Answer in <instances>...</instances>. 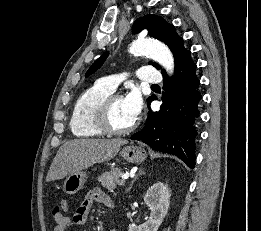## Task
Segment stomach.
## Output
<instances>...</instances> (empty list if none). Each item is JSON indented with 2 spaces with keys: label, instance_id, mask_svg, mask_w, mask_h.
Masks as SVG:
<instances>
[{
  "label": "stomach",
  "instance_id": "0dacf381",
  "mask_svg": "<svg viewBox=\"0 0 261 231\" xmlns=\"http://www.w3.org/2000/svg\"><path fill=\"white\" fill-rule=\"evenodd\" d=\"M120 154L127 162L135 164H139L147 158L145 150L134 145L125 146L121 150ZM86 179V173L83 171L70 174L64 181V192L69 195L77 193L83 188Z\"/></svg>",
  "mask_w": 261,
  "mask_h": 231
}]
</instances>
